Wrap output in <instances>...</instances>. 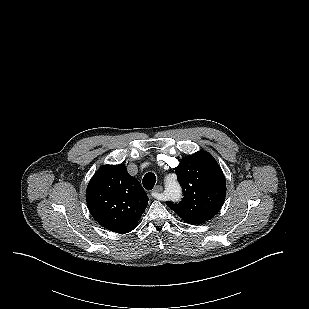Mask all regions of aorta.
Here are the masks:
<instances>
[{"instance_id":"1","label":"aorta","mask_w":309,"mask_h":309,"mask_svg":"<svg viewBox=\"0 0 309 309\" xmlns=\"http://www.w3.org/2000/svg\"><path fill=\"white\" fill-rule=\"evenodd\" d=\"M165 189L171 200L177 201L181 197V187L177 181L167 180L165 182Z\"/></svg>"}]
</instances>
